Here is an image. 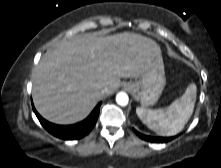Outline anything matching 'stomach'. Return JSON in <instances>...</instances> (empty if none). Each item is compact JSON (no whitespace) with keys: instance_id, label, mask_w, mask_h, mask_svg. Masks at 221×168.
Returning a JSON list of instances; mask_svg holds the SVG:
<instances>
[{"instance_id":"1","label":"stomach","mask_w":221,"mask_h":168,"mask_svg":"<svg viewBox=\"0 0 221 168\" xmlns=\"http://www.w3.org/2000/svg\"><path fill=\"white\" fill-rule=\"evenodd\" d=\"M165 84L164 67L153 66L139 79L127 82L124 86L143 107H146L158 101Z\"/></svg>"}]
</instances>
